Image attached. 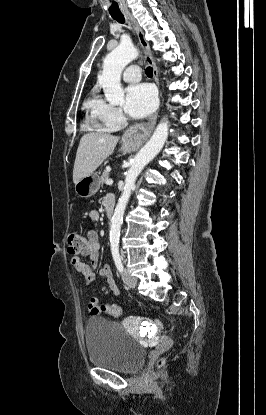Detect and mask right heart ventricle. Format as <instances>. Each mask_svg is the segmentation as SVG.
<instances>
[{
  "mask_svg": "<svg viewBox=\"0 0 266 415\" xmlns=\"http://www.w3.org/2000/svg\"><path fill=\"white\" fill-rule=\"evenodd\" d=\"M95 101H96V98L91 97L87 102V106L91 110V119H93V120L96 119L95 116L93 115V111H92V108H93V105H94Z\"/></svg>",
  "mask_w": 266,
  "mask_h": 415,
  "instance_id": "e07e8e85",
  "label": "right heart ventricle"
}]
</instances>
